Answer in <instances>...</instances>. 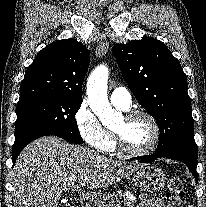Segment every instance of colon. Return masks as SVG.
<instances>
[{
    "mask_svg": "<svg viewBox=\"0 0 206 207\" xmlns=\"http://www.w3.org/2000/svg\"><path fill=\"white\" fill-rule=\"evenodd\" d=\"M184 195L185 192L181 180L178 178L173 179L165 192V200L168 207H184ZM64 207H76V203L72 202Z\"/></svg>",
    "mask_w": 206,
    "mask_h": 207,
    "instance_id": "5ec220e1",
    "label": "colon"
}]
</instances>
